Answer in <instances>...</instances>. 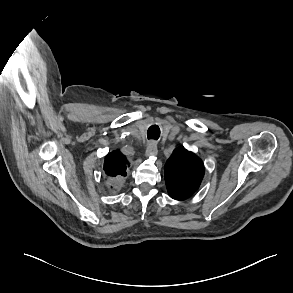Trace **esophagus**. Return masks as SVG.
<instances>
[{"mask_svg": "<svg viewBox=\"0 0 293 293\" xmlns=\"http://www.w3.org/2000/svg\"><path fill=\"white\" fill-rule=\"evenodd\" d=\"M157 152H158L157 143L155 141H150L147 144L145 155L146 156H155V155H157Z\"/></svg>", "mask_w": 293, "mask_h": 293, "instance_id": "1", "label": "esophagus"}]
</instances>
